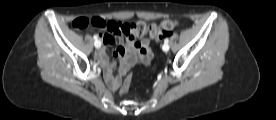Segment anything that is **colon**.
<instances>
[{"label": "colon", "instance_id": "obj_1", "mask_svg": "<svg viewBox=\"0 0 276 120\" xmlns=\"http://www.w3.org/2000/svg\"><path fill=\"white\" fill-rule=\"evenodd\" d=\"M108 25V22L100 17H81L73 20L71 26L73 29L82 31L88 28L104 29ZM177 21L173 19H166L160 24L147 25L145 22L137 21L132 23H126L122 26V34L128 39L143 38L149 36L155 40H162L170 35L175 29ZM131 82V77L128 75L123 80H118L115 83L117 92L119 94H125L128 91Z\"/></svg>", "mask_w": 276, "mask_h": 120}]
</instances>
